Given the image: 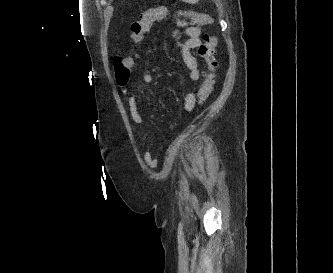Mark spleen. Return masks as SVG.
Masks as SVG:
<instances>
[{
  "instance_id": "obj_1",
  "label": "spleen",
  "mask_w": 333,
  "mask_h": 273,
  "mask_svg": "<svg viewBox=\"0 0 333 273\" xmlns=\"http://www.w3.org/2000/svg\"><path fill=\"white\" fill-rule=\"evenodd\" d=\"M183 2H187V3H196L199 0H182Z\"/></svg>"
}]
</instances>
